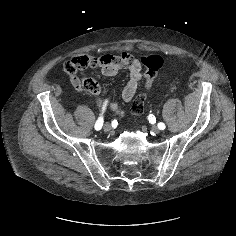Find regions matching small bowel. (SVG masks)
Segmentation results:
<instances>
[{
  "label": "small bowel",
  "instance_id": "obj_1",
  "mask_svg": "<svg viewBox=\"0 0 236 236\" xmlns=\"http://www.w3.org/2000/svg\"><path fill=\"white\" fill-rule=\"evenodd\" d=\"M68 62L74 64L76 68L83 67L81 70L99 68L102 75L106 77L115 76L121 70H128L129 81L122 91V98L125 101H130L134 97L142 79L140 61L128 52L103 54L99 57L77 54ZM77 73L78 71L66 73L77 90L86 89L95 94L100 92V86L97 82L92 79L81 78ZM111 107L114 111H118L116 105L113 104Z\"/></svg>",
  "mask_w": 236,
  "mask_h": 236
}]
</instances>
